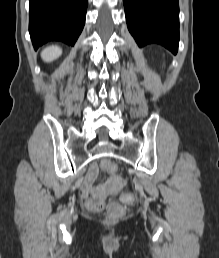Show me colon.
<instances>
[{
	"label": "colon",
	"mask_w": 219,
	"mask_h": 258,
	"mask_svg": "<svg viewBox=\"0 0 219 258\" xmlns=\"http://www.w3.org/2000/svg\"><path fill=\"white\" fill-rule=\"evenodd\" d=\"M102 170L108 173H114L117 170V165L112 162L111 160H104L101 163ZM134 195L132 193H123L122 194V201L129 203L134 200ZM86 206L91 211H101L105 207V203L103 201H93L88 200L86 202ZM108 214L111 219H115L122 215L123 207L120 203L111 202L107 205Z\"/></svg>",
	"instance_id": "1"
}]
</instances>
